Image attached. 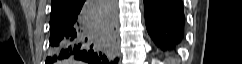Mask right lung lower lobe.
<instances>
[{"mask_svg":"<svg viewBox=\"0 0 242 64\" xmlns=\"http://www.w3.org/2000/svg\"><path fill=\"white\" fill-rule=\"evenodd\" d=\"M50 23L46 64L74 58L89 64H115L116 0H77L75 7Z\"/></svg>","mask_w":242,"mask_h":64,"instance_id":"98d812e1","label":"right lung lower lobe"}]
</instances>
